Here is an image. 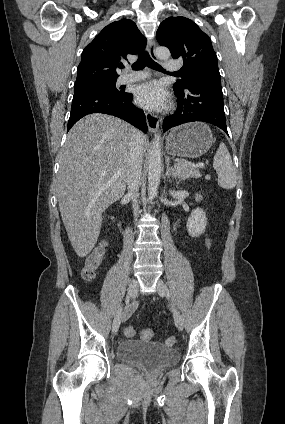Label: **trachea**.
<instances>
[{"label": "trachea", "mask_w": 285, "mask_h": 424, "mask_svg": "<svg viewBox=\"0 0 285 424\" xmlns=\"http://www.w3.org/2000/svg\"><path fill=\"white\" fill-rule=\"evenodd\" d=\"M145 66H148L149 68L157 70V71L166 72V70H164L161 65H159L158 63H156L155 61L151 59L147 51H142L139 53L138 60L132 65V69L140 70ZM174 73H179V72H174Z\"/></svg>", "instance_id": "obj_1"}]
</instances>
